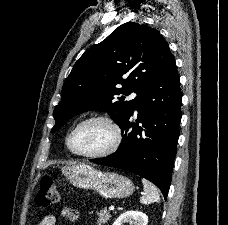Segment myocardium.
<instances>
[{
  "instance_id": "1",
  "label": "myocardium",
  "mask_w": 228,
  "mask_h": 225,
  "mask_svg": "<svg viewBox=\"0 0 228 225\" xmlns=\"http://www.w3.org/2000/svg\"><path fill=\"white\" fill-rule=\"evenodd\" d=\"M88 122H101L110 129L112 134V142L106 150L101 152H76L72 150L70 146L71 136L79 127H81L82 125ZM121 142H122V136H121V130L118 124L114 122L112 119H110L109 117H106L103 115H89L80 119L67 131L64 137L65 150L71 156L79 157V158L100 159V158L108 157L114 154L120 148Z\"/></svg>"
}]
</instances>
